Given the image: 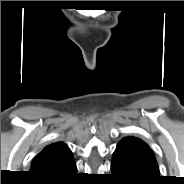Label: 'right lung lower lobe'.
Here are the masks:
<instances>
[{
	"label": "right lung lower lobe",
	"instance_id": "right-lung-lower-lobe-1",
	"mask_svg": "<svg viewBox=\"0 0 184 184\" xmlns=\"http://www.w3.org/2000/svg\"><path fill=\"white\" fill-rule=\"evenodd\" d=\"M77 174L75 161L72 158L64 162L54 171L36 176L40 184H70Z\"/></svg>",
	"mask_w": 184,
	"mask_h": 184
}]
</instances>
